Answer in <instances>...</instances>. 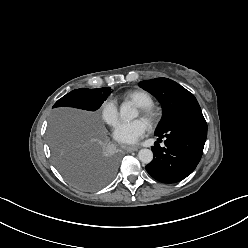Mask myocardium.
Listing matches in <instances>:
<instances>
[{"mask_svg": "<svg viewBox=\"0 0 248 248\" xmlns=\"http://www.w3.org/2000/svg\"><path fill=\"white\" fill-rule=\"evenodd\" d=\"M140 115L150 124H153L158 119V111L153 105L140 106Z\"/></svg>", "mask_w": 248, "mask_h": 248, "instance_id": "myocardium-1", "label": "myocardium"}]
</instances>
